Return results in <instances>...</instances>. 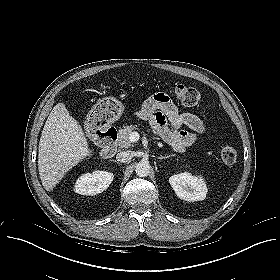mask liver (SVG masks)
<instances>
[{
	"label": "liver",
	"mask_w": 280,
	"mask_h": 280,
	"mask_svg": "<svg viewBox=\"0 0 280 280\" xmlns=\"http://www.w3.org/2000/svg\"><path fill=\"white\" fill-rule=\"evenodd\" d=\"M91 153L87 138L64 103L50 112L39 141L38 170L42 185L51 191L64 175Z\"/></svg>",
	"instance_id": "liver-1"
}]
</instances>
